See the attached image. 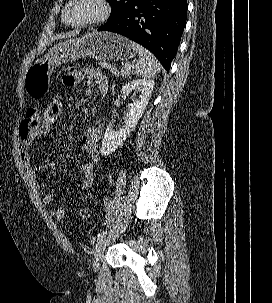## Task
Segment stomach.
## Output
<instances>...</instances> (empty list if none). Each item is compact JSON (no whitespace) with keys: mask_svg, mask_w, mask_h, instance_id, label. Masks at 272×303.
<instances>
[{"mask_svg":"<svg viewBox=\"0 0 272 303\" xmlns=\"http://www.w3.org/2000/svg\"><path fill=\"white\" fill-rule=\"evenodd\" d=\"M134 56L131 41L127 38L109 32L88 33L54 45L43 57L37 59L25 75L24 89L28 96L40 99L49 91V80L54 68L62 63L86 57L128 61Z\"/></svg>","mask_w":272,"mask_h":303,"instance_id":"1","label":"stomach"}]
</instances>
